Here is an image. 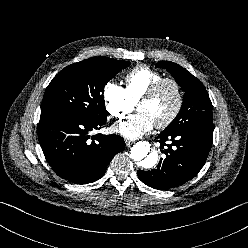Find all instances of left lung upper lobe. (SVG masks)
<instances>
[{
  "mask_svg": "<svg viewBox=\"0 0 248 248\" xmlns=\"http://www.w3.org/2000/svg\"><path fill=\"white\" fill-rule=\"evenodd\" d=\"M156 67L166 69L185 92L180 112L165 130L213 131L212 103L204 85L176 63L160 61Z\"/></svg>",
  "mask_w": 248,
  "mask_h": 248,
  "instance_id": "obj_1",
  "label": "left lung upper lobe"
}]
</instances>
